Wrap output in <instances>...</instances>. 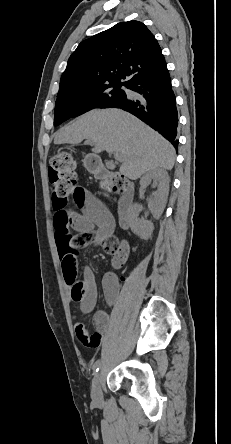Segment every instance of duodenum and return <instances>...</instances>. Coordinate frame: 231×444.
Here are the masks:
<instances>
[{
	"instance_id": "410a0bca",
	"label": "duodenum",
	"mask_w": 231,
	"mask_h": 444,
	"mask_svg": "<svg viewBox=\"0 0 231 444\" xmlns=\"http://www.w3.org/2000/svg\"><path fill=\"white\" fill-rule=\"evenodd\" d=\"M98 175L104 179H114L115 176L112 172L108 171L103 166L99 169ZM134 201V190L132 186H127L119 201V215L120 223L122 227L127 228L129 226L130 211Z\"/></svg>"
}]
</instances>
